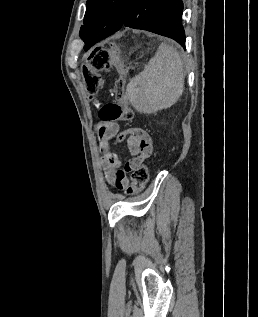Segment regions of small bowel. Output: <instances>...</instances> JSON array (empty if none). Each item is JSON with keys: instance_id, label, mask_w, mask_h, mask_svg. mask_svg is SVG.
Here are the masks:
<instances>
[{"instance_id": "c3829d8e", "label": "small bowel", "mask_w": 258, "mask_h": 317, "mask_svg": "<svg viewBox=\"0 0 258 317\" xmlns=\"http://www.w3.org/2000/svg\"><path fill=\"white\" fill-rule=\"evenodd\" d=\"M100 142L102 164L107 181L118 189L128 184V173L139 167L153 153V139L150 134L141 128H129L119 131L115 122H101L97 126ZM112 144L125 142L132 157L121 167L119 156L114 152Z\"/></svg>"}]
</instances>
